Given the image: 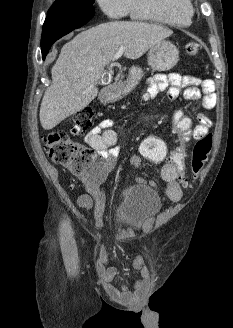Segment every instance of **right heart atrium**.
<instances>
[{"instance_id":"obj_1","label":"right heart atrium","mask_w":233,"mask_h":328,"mask_svg":"<svg viewBox=\"0 0 233 328\" xmlns=\"http://www.w3.org/2000/svg\"><path fill=\"white\" fill-rule=\"evenodd\" d=\"M101 10L110 18L118 19L128 13V0H97Z\"/></svg>"}]
</instances>
